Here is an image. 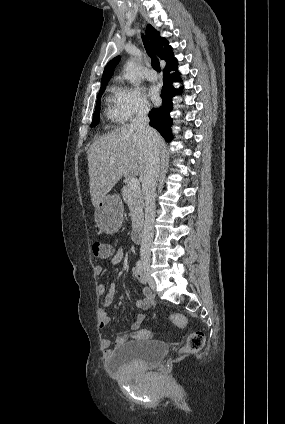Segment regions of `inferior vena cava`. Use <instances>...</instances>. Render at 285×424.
I'll return each mask as SVG.
<instances>
[{"label":"inferior vena cava","instance_id":"602c4592","mask_svg":"<svg viewBox=\"0 0 285 424\" xmlns=\"http://www.w3.org/2000/svg\"><path fill=\"white\" fill-rule=\"evenodd\" d=\"M149 110L147 105H142L131 124V127L136 129L143 136L147 148V166L142 176V189L145 200V222L140 248L141 259L146 261H150L151 246L154 237L155 190L160 164L159 145L156 141V132L149 126Z\"/></svg>","mask_w":285,"mask_h":424}]
</instances>
